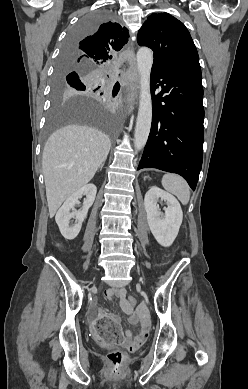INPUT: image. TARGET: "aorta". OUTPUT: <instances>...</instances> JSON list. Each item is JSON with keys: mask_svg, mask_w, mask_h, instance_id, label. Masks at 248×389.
<instances>
[{"mask_svg": "<svg viewBox=\"0 0 248 389\" xmlns=\"http://www.w3.org/2000/svg\"><path fill=\"white\" fill-rule=\"evenodd\" d=\"M153 64V52L141 47L137 52V68L139 72L140 99L134 134V147L141 150L148 139L152 121V99L150 92V73Z\"/></svg>", "mask_w": 248, "mask_h": 389, "instance_id": "obj_1", "label": "aorta"}]
</instances>
